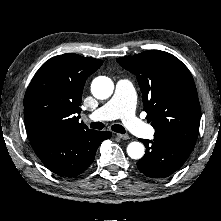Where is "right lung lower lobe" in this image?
<instances>
[{"mask_svg": "<svg viewBox=\"0 0 221 221\" xmlns=\"http://www.w3.org/2000/svg\"><path fill=\"white\" fill-rule=\"evenodd\" d=\"M111 136V132L89 130L78 134L41 133L29 139L49 170L60 176L75 177L92 164L99 144Z\"/></svg>", "mask_w": 221, "mask_h": 221, "instance_id": "right-lung-lower-lobe-1", "label": "right lung lower lobe"}]
</instances>
